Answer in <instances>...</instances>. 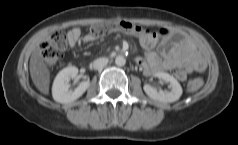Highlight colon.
<instances>
[{"label": "colon", "instance_id": "5ec220e1", "mask_svg": "<svg viewBox=\"0 0 238 145\" xmlns=\"http://www.w3.org/2000/svg\"><path fill=\"white\" fill-rule=\"evenodd\" d=\"M113 32H123L126 34L140 36L150 33L149 30L143 29L135 24L127 21L109 22L103 24H95L88 30V36L92 38L106 36ZM67 48V37L62 32H54L41 45V57L44 63L53 68L62 58ZM202 79L194 78L188 83L189 91H196L201 88Z\"/></svg>", "mask_w": 238, "mask_h": 145}]
</instances>
